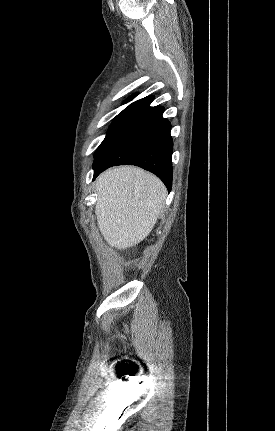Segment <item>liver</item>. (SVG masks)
<instances>
[{
    "label": "liver",
    "mask_w": 275,
    "mask_h": 431,
    "mask_svg": "<svg viewBox=\"0 0 275 431\" xmlns=\"http://www.w3.org/2000/svg\"><path fill=\"white\" fill-rule=\"evenodd\" d=\"M96 192L99 230L119 250L135 246L150 234L167 196L158 177L132 166L103 172L96 180Z\"/></svg>",
    "instance_id": "1"
}]
</instances>
